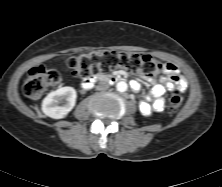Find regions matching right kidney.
<instances>
[{"label": "right kidney", "mask_w": 222, "mask_h": 187, "mask_svg": "<svg viewBox=\"0 0 222 187\" xmlns=\"http://www.w3.org/2000/svg\"><path fill=\"white\" fill-rule=\"evenodd\" d=\"M77 94L72 87H61L49 93L42 101V111L53 119H61L74 108ZM59 104H62L59 106Z\"/></svg>", "instance_id": "1"}]
</instances>
